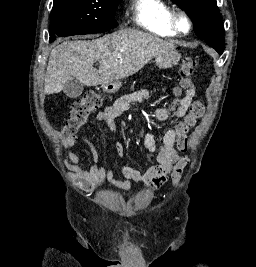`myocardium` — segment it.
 <instances>
[{"label":"myocardium","instance_id":"obj_1","mask_svg":"<svg viewBox=\"0 0 256 267\" xmlns=\"http://www.w3.org/2000/svg\"><path fill=\"white\" fill-rule=\"evenodd\" d=\"M183 19L185 21V28H183L180 24V20ZM171 22L174 29L179 34L187 35L192 29V19L189 13L181 6H178L176 10L171 15Z\"/></svg>","mask_w":256,"mask_h":267}]
</instances>
